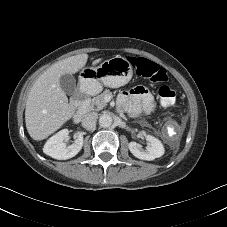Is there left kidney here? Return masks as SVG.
<instances>
[{"mask_svg": "<svg viewBox=\"0 0 227 227\" xmlns=\"http://www.w3.org/2000/svg\"><path fill=\"white\" fill-rule=\"evenodd\" d=\"M141 133L150 143V146L147 147L146 150H144L138 143L130 142L128 145L130 152L138 159L148 161L161 157L165 152L164 146L161 141L153 135L146 134L144 131Z\"/></svg>", "mask_w": 227, "mask_h": 227, "instance_id": "left-kidney-1", "label": "left kidney"}]
</instances>
